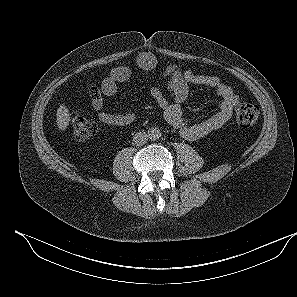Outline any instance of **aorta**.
<instances>
[{"label": "aorta", "mask_w": 297, "mask_h": 297, "mask_svg": "<svg viewBox=\"0 0 297 297\" xmlns=\"http://www.w3.org/2000/svg\"><path fill=\"white\" fill-rule=\"evenodd\" d=\"M148 136L151 140H157L161 137V131L157 127H151L148 130Z\"/></svg>", "instance_id": "aorta-1"}]
</instances>
